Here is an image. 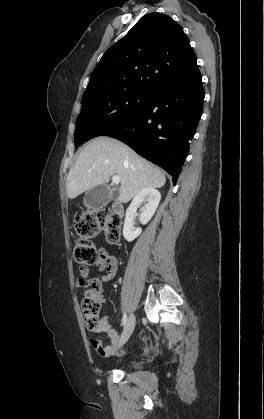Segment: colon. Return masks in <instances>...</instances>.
Wrapping results in <instances>:
<instances>
[{"mask_svg":"<svg viewBox=\"0 0 264 419\" xmlns=\"http://www.w3.org/2000/svg\"><path fill=\"white\" fill-rule=\"evenodd\" d=\"M78 239L74 247V259L80 264L92 265L97 262L98 254L92 238L103 233L109 243L120 239L121 220L107 210H95L79 216L74 221ZM102 298L92 290H86L82 300V310L87 327L95 331L99 328V313Z\"/></svg>","mask_w":264,"mask_h":419,"instance_id":"1","label":"colon"}]
</instances>
